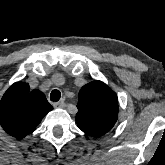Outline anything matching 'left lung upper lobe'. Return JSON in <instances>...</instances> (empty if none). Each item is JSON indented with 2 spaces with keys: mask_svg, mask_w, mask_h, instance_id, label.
Returning a JSON list of instances; mask_svg holds the SVG:
<instances>
[{
  "mask_svg": "<svg viewBox=\"0 0 165 165\" xmlns=\"http://www.w3.org/2000/svg\"><path fill=\"white\" fill-rule=\"evenodd\" d=\"M77 108L78 127L93 137H99L109 132L118 118L116 93L98 80L81 88Z\"/></svg>",
  "mask_w": 165,
  "mask_h": 165,
  "instance_id": "5c2ea615",
  "label": "left lung upper lobe"
}]
</instances>
